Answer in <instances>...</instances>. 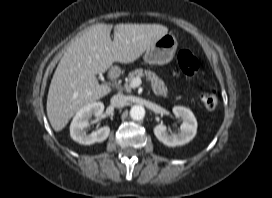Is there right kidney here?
Here are the masks:
<instances>
[{"label":"right kidney","mask_w":272,"mask_h":198,"mask_svg":"<svg viewBox=\"0 0 272 198\" xmlns=\"http://www.w3.org/2000/svg\"><path fill=\"white\" fill-rule=\"evenodd\" d=\"M104 111V104L102 102H93L82 107L74 116L70 125L71 138L84 145H91L96 142H103L110 134V128L104 126L97 131L87 134L85 128L89 125V119L92 116H100Z\"/></svg>","instance_id":"1"}]
</instances>
